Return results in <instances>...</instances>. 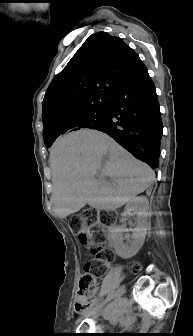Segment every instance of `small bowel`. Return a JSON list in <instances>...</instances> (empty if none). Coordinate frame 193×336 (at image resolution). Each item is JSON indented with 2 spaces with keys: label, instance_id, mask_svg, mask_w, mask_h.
Returning <instances> with one entry per match:
<instances>
[{
  "label": "small bowel",
  "instance_id": "small-bowel-1",
  "mask_svg": "<svg viewBox=\"0 0 193 336\" xmlns=\"http://www.w3.org/2000/svg\"><path fill=\"white\" fill-rule=\"evenodd\" d=\"M105 266H109V264L106 262ZM98 294V288L95 287L93 288L89 295H88V299H92L94 300L96 298V295ZM120 320H130L131 318L126 314L125 309H124V303H120V310H119V315H118Z\"/></svg>",
  "mask_w": 193,
  "mask_h": 336
}]
</instances>
